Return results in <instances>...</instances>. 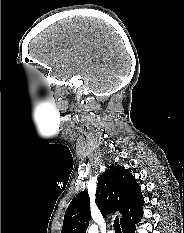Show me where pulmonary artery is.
<instances>
[{"instance_id": "1", "label": "pulmonary artery", "mask_w": 184, "mask_h": 233, "mask_svg": "<svg viewBox=\"0 0 184 233\" xmlns=\"http://www.w3.org/2000/svg\"><path fill=\"white\" fill-rule=\"evenodd\" d=\"M108 233H114V231L113 230H109Z\"/></svg>"}]
</instances>
